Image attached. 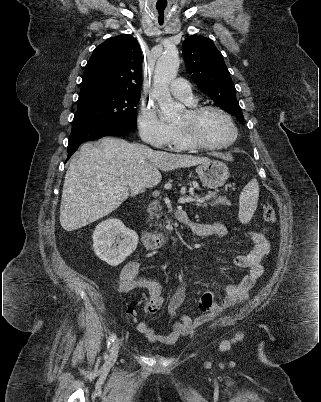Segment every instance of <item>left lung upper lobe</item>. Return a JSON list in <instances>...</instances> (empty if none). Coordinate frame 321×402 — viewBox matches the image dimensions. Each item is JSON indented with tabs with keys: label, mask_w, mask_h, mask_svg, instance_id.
Here are the masks:
<instances>
[{
	"label": "left lung upper lobe",
	"mask_w": 321,
	"mask_h": 402,
	"mask_svg": "<svg viewBox=\"0 0 321 402\" xmlns=\"http://www.w3.org/2000/svg\"><path fill=\"white\" fill-rule=\"evenodd\" d=\"M182 49L186 69L198 87L221 109L243 120L244 116L236 99L235 86L223 56L213 41L205 37L189 36L183 42Z\"/></svg>",
	"instance_id": "left-lung-upper-lobe-1"
}]
</instances>
